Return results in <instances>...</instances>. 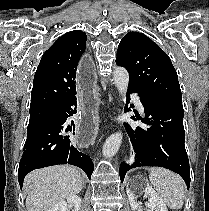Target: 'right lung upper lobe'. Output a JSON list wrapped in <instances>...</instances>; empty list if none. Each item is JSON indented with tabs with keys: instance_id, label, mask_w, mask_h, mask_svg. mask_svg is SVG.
Wrapping results in <instances>:
<instances>
[{
	"instance_id": "cb5924a9",
	"label": "right lung upper lobe",
	"mask_w": 209,
	"mask_h": 211,
	"mask_svg": "<svg viewBox=\"0 0 209 211\" xmlns=\"http://www.w3.org/2000/svg\"><path fill=\"white\" fill-rule=\"evenodd\" d=\"M86 40L82 31H70L43 54L34 76L30 112L53 109L76 95V70Z\"/></svg>"
}]
</instances>
